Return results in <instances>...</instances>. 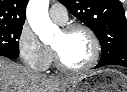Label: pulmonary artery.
I'll return each instance as SVG.
<instances>
[{"mask_svg": "<svg viewBox=\"0 0 127 92\" xmlns=\"http://www.w3.org/2000/svg\"><path fill=\"white\" fill-rule=\"evenodd\" d=\"M49 15L51 19L59 24L66 23L68 14L66 8L60 3H54L49 8Z\"/></svg>", "mask_w": 127, "mask_h": 92, "instance_id": "pulmonary-artery-1", "label": "pulmonary artery"}]
</instances>
